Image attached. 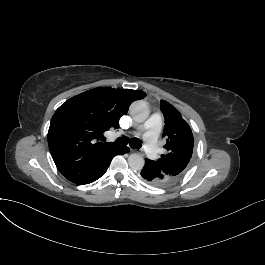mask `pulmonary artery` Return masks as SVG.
I'll use <instances>...</instances> for the list:
<instances>
[{
	"label": "pulmonary artery",
	"mask_w": 265,
	"mask_h": 265,
	"mask_svg": "<svg viewBox=\"0 0 265 265\" xmlns=\"http://www.w3.org/2000/svg\"><path fill=\"white\" fill-rule=\"evenodd\" d=\"M146 127L149 129L145 133V138L142 143V151L143 152H149V159L150 160H157L158 159V152L156 151L157 142H156V136L158 134V124L153 120H148L146 122Z\"/></svg>",
	"instance_id": "obj_1"
}]
</instances>
